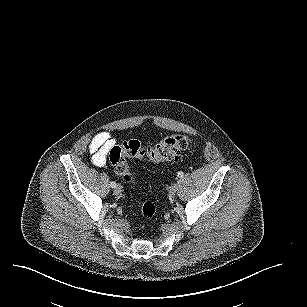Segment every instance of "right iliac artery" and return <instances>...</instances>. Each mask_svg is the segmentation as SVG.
I'll use <instances>...</instances> for the list:
<instances>
[{"instance_id": "82829eb1", "label": "right iliac artery", "mask_w": 307, "mask_h": 307, "mask_svg": "<svg viewBox=\"0 0 307 307\" xmlns=\"http://www.w3.org/2000/svg\"><path fill=\"white\" fill-rule=\"evenodd\" d=\"M110 186H111L112 188H115V187H116V183H115V182H111V183H110Z\"/></svg>"}]
</instances>
